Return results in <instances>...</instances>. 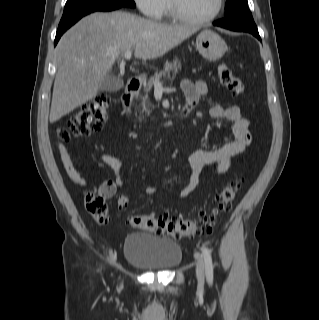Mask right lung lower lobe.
Listing matches in <instances>:
<instances>
[{"instance_id":"right-lung-lower-lobe-1","label":"right lung lower lobe","mask_w":319,"mask_h":320,"mask_svg":"<svg viewBox=\"0 0 319 320\" xmlns=\"http://www.w3.org/2000/svg\"><path fill=\"white\" fill-rule=\"evenodd\" d=\"M122 6H115V7H111V8H105V9H97V10H93L91 12H94V11H111V10H115V9H118ZM91 12H88L86 14H83L73 20H71L70 22H68L67 24H64V25H61L58 27V30H57V33H56V37H55V41H54V45L57 44L58 40L60 39L61 35L69 28L71 27L73 24H75L80 18H82L83 16L91 13Z\"/></svg>"}]
</instances>
